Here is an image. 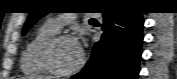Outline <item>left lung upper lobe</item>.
Segmentation results:
<instances>
[{"mask_svg": "<svg viewBox=\"0 0 177 79\" xmlns=\"http://www.w3.org/2000/svg\"><path fill=\"white\" fill-rule=\"evenodd\" d=\"M46 9L44 8H39V9H35L34 11H32L29 15L28 20L25 23V26L23 28V34H25L28 29L41 17H43L44 15H46Z\"/></svg>", "mask_w": 177, "mask_h": 79, "instance_id": "5c2ea615", "label": "left lung upper lobe"}]
</instances>
